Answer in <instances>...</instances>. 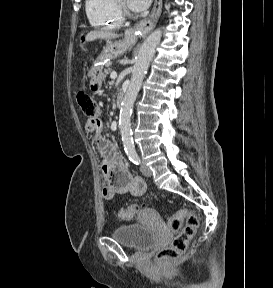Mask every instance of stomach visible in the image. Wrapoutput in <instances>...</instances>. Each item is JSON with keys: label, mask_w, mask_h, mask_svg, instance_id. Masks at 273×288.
<instances>
[{"label": "stomach", "mask_w": 273, "mask_h": 288, "mask_svg": "<svg viewBox=\"0 0 273 288\" xmlns=\"http://www.w3.org/2000/svg\"><path fill=\"white\" fill-rule=\"evenodd\" d=\"M132 43L127 39L120 41H109L103 47L101 53L95 59L93 66L89 72V76L91 77V89L94 91H99L101 85V75L103 65L113 60L117 57H120L129 47H131ZM84 46H81V51H85Z\"/></svg>", "instance_id": "stomach-1"}]
</instances>
